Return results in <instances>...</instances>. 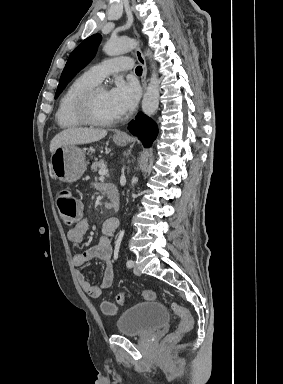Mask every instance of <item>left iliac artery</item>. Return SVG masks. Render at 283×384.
<instances>
[{"mask_svg": "<svg viewBox=\"0 0 283 384\" xmlns=\"http://www.w3.org/2000/svg\"><path fill=\"white\" fill-rule=\"evenodd\" d=\"M127 267L131 268L134 265V262L132 260H128L126 263Z\"/></svg>", "mask_w": 283, "mask_h": 384, "instance_id": "left-iliac-artery-1", "label": "left iliac artery"}]
</instances>
